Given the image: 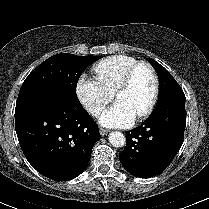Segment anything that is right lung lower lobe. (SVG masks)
Returning a JSON list of instances; mask_svg holds the SVG:
<instances>
[{
	"mask_svg": "<svg viewBox=\"0 0 209 209\" xmlns=\"http://www.w3.org/2000/svg\"><path fill=\"white\" fill-rule=\"evenodd\" d=\"M15 129L28 162L55 181L79 176L101 138L78 98L58 90L43 92L16 106Z\"/></svg>",
	"mask_w": 209,
	"mask_h": 209,
	"instance_id": "right-lung-lower-lobe-1",
	"label": "right lung lower lobe"
}]
</instances>
